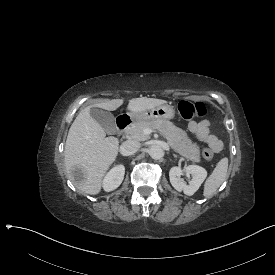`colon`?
Segmentation results:
<instances>
[{
	"mask_svg": "<svg viewBox=\"0 0 275 275\" xmlns=\"http://www.w3.org/2000/svg\"><path fill=\"white\" fill-rule=\"evenodd\" d=\"M210 105L203 102H191L189 100H182L178 105V112L180 117L187 120H202L210 112ZM204 159L210 160L214 156V152L210 148H204L201 151Z\"/></svg>",
	"mask_w": 275,
	"mask_h": 275,
	"instance_id": "1",
	"label": "colon"
}]
</instances>
